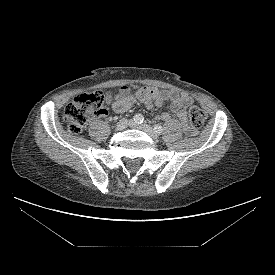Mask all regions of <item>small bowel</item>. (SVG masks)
<instances>
[{
	"instance_id": "c3829d8e",
	"label": "small bowel",
	"mask_w": 275,
	"mask_h": 275,
	"mask_svg": "<svg viewBox=\"0 0 275 275\" xmlns=\"http://www.w3.org/2000/svg\"><path fill=\"white\" fill-rule=\"evenodd\" d=\"M142 102L147 108L161 106L164 102H170V111L157 116L159 120H169L175 118L181 125L183 131L188 136L196 134L187 121L186 108L192 103V98L184 92L177 90H162L156 87H142L131 91L123 87L119 95L109 98L111 109L115 113H124L134 104L135 101Z\"/></svg>"
}]
</instances>
